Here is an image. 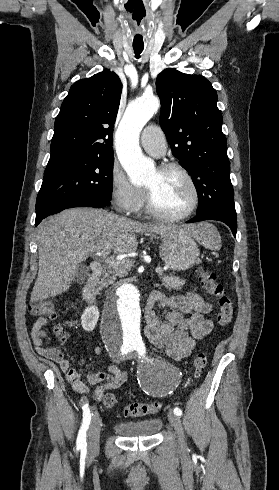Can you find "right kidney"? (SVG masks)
<instances>
[{
  "mask_svg": "<svg viewBox=\"0 0 279 490\" xmlns=\"http://www.w3.org/2000/svg\"><path fill=\"white\" fill-rule=\"evenodd\" d=\"M99 318V310L96 306L86 308L81 316V326L86 332L94 330Z\"/></svg>",
  "mask_w": 279,
  "mask_h": 490,
  "instance_id": "ca27d5eb",
  "label": "right kidney"
}]
</instances>
